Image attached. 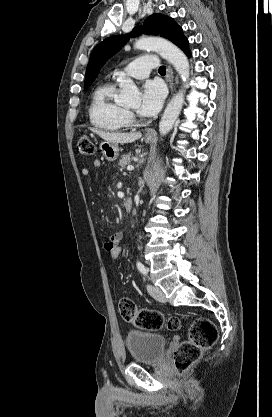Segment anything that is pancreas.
I'll return each mask as SVG.
<instances>
[{
  "label": "pancreas",
  "instance_id": "cf45deb5",
  "mask_svg": "<svg viewBox=\"0 0 272 417\" xmlns=\"http://www.w3.org/2000/svg\"><path fill=\"white\" fill-rule=\"evenodd\" d=\"M132 159H133V156L131 153H128L126 155L124 154L121 156V159L119 160L118 164L121 167H125L127 164L131 163Z\"/></svg>",
  "mask_w": 272,
  "mask_h": 417
}]
</instances>
